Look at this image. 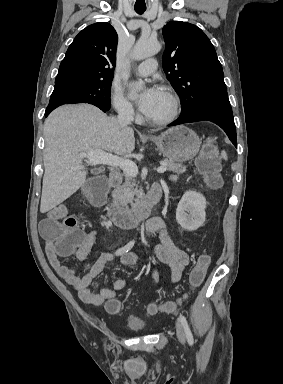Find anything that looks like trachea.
<instances>
[{
  "mask_svg": "<svg viewBox=\"0 0 283 384\" xmlns=\"http://www.w3.org/2000/svg\"><path fill=\"white\" fill-rule=\"evenodd\" d=\"M145 10H146V8H135V11H136L137 13H139L140 15H141L142 13H144Z\"/></svg>",
  "mask_w": 283,
  "mask_h": 384,
  "instance_id": "1",
  "label": "trachea"
}]
</instances>
